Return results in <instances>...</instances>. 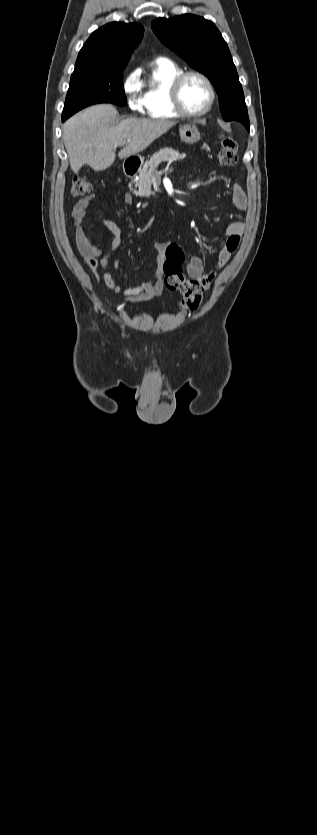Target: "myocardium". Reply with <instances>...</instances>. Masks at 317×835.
<instances>
[{
  "label": "myocardium",
  "instance_id": "1",
  "mask_svg": "<svg viewBox=\"0 0 317 835\" xmlns=\"http://www.w3.org/2000/svg\"><path fill=\"white\" fill-rule=\"evenodd\" d=\"M191 76H196V77L202 79L206 83V85L209 89V92H210V99H209L208 104L206 105V107L203 110H201L199 112L188 111L184 107L182 99H181L182 87H183L186 79L191 77ZM170 97H171V101H172V104H173L175 110L181 116L187 117V118H197V117H201V116L206 115L212 109V107L214 105V102H215V99H216V90H215L213 82L211 81V79L206 74H204L203 72L197 71V70H188V71H182L178 76H176L174 78V80L172 81L171 86H170Z\"/></svg>",
  "mask_w": 317,
  "mask_h": 835
}]
</instances>
